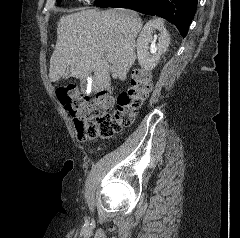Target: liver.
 <instances>
[{
	"instance_id": "1",
	"label": "liver",
	"mask_w": 240,
	"mask_h": 238,
	"mask_svg": "<svg viewBox=\"0 0 240 238\" xmlns=\"http://www.w3.org/2000/svg\"><path fill=\"white\" fill-rule=\"evenodd\" d=\"M142 25L139 15L128 9H88L62 16L50 58V81H58L68 67L69 76L82 81L94 73L96 93L109 87L110 74L124 81L136 59L135 38Z\"/></svg>"
}]
</instances>
